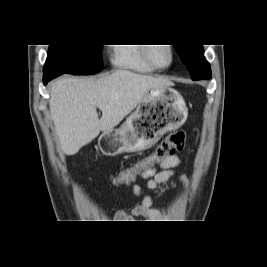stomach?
<instances>
[{
  "instance_id": "0dacf381",
  "label": "stomach",
  "mask_w": 267,
  "mask_h": 267,
  "mask_svg": "<svg viewBox=\"0 0 267 267\" xmlns=\"http://www.w3.org/2000/svg\"><path fill=\"white\" fill-rule=\"evenodd\" d=\"M188 110L182 96L165 86L146 93L119 129L104 131L98 144L105 155L146 150L169 131L183 125Z\"/></svg>"
}]
</instances>
